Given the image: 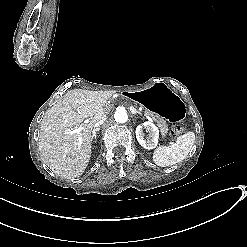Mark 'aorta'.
I'll list each match as a JSON object with an SVG mask.
<instances>
[{
    "label": "aorta",
    "instance_id": "1",
    "mask_svg": "<svg viewBox=\"0 0 247 247\" xmlns=\"http://www.w3.org/2000/svg\"><path fill=\"white\" fill-rule=\"evenodd\" d=\"M114 119L118 123H125L128 120V114L124 108H118L115 111Z\"/></svg>",
    "mask_w": 247,
    "mask_h": 247
}]
</instances>
